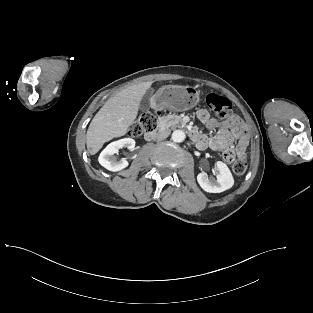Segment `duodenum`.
Instances as JSON below:
<instances>
[{"label":"duodenum","instance_id":"obj_1","mask_svg":"<svg viewBox=\"0 0 313 313\" xmlns=\"http://www.w3.org/2000/svg\"><path fill=\"white\" fill-rule=\"evenodd\" d=\"M163 131V127L162 126H159L157 127L155 130L151 131V132H148L145 134V138L147 140H152V139H155L156 137H158L161 132ZM189 135L190 137L194 140L196 138V132L194 130H190L189 131Z\"/></svg>","mask_w":313,"mask_h":313}]
</instances>
